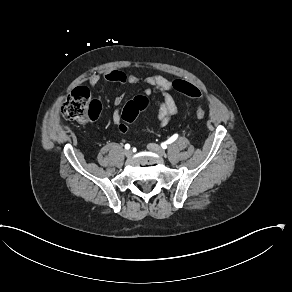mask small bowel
<instances>
[{"instance_id":"c3829d8e","label":"small bowel","mask_w":292,"mask_h":292,"mask_svg":"<svg viewBox=\"0 0 292 292\" xmlns=\"http://www.w3.org/2000/svg\"><path fill=\"white\" fill-rule=\"evenodd\" d=\"M102 80L107 82H115L123 85L144 84V94L150 96L154 91L161 94L158 102V112L156 115L157 125L160 127L166 126L171 119L177 115L178 106L172 96V92L176 91L173 87V82L159 74L140 76L135 73H126L120 70H107L103 73H93L88 80V85L91 88L96 87ZM124 100V95H117L114 99L116 106L112 113V121L120 127L122 133H126V129L122 128L120 106Z\"/></svg>"}]
</instances>
